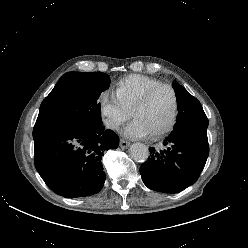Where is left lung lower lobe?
<instances>
[{
    "instance_id": "1",
    "label": "left lung lower lobe",
    "mask_w": 248,
    "mask_h": 248,
    "mask_svg": "<svg viewBox=\"0 0 248 248\" xmlns=\"http://www.w3.org/2000/svg\"><path fill=\"white\" fill-rule=\"evenodd\" d=\"M156 151L149 148L150 156L140 167L144 184L151 190L178 193L194 184L202 172L208 154L207 129L186 127L173 130Z\"/></svg>"
}]
</instances>
